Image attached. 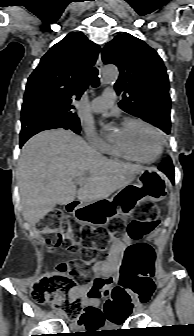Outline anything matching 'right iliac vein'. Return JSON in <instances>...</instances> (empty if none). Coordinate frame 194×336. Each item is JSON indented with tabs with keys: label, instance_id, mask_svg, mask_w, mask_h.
<instances>
[{
	"label": "right iliac vein",
	"instance_id": "1",
	"mask_svg": "<svg viewBox=\"0 0 194 336\" xmlns=\"http://www.w3.org/2000/svg\"><path fill=\"white\" fill-rule=\"evenodd\" d=\"M57 316L61 317V316H62V313H57Z\"/></svg>",
	"mask_w": 194,
	"mask_h": 336
}]
</instances>
